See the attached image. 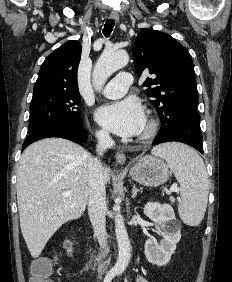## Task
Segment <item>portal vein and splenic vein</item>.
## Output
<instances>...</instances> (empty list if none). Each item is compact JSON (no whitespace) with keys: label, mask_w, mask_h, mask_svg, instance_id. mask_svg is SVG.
I'll return each instance as SVG.
<instances>
[{"label":"portal vein and splenic vein","mask_w":232,"mask_h":282,"mask_svg":"<svg viewBox=\"0 0 232 282\" xmlns=\"http://www.w3.org/2000/svg\"><path fill=\"white\" fill-rule=\"evenodd\" d=\"M170 191H171V192H178V191H179V188L177 187V185L173 184V185L171 186V188H170ZM62 195H63L64 197H68V196L70 195V193H69V192H64Z\"/></svg>","instance_id":"18ae733b"}]
</instances>
